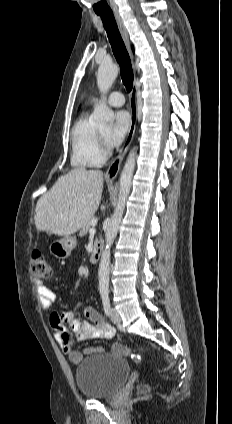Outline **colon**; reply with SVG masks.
<instances>
[{"mask_svg":"<svg viewBox=\"0 0 232 424\" xmlns=\"http://www.w3.org/2000/svg\"><path fill=\"white\" fill-rule=\"evenodd\" d=\"M31 271L36 278L42 280H49L53 276L52 266L41 250H34L31 254ZM119 345H122L125 355L130 356L135 362L140 361V357L130 350V346L127 343H123V340H118L116 346L118 347ZM149 391L150 387L148 385H140L137 388V393L140 395L147 394Z\"/></svg>","mask_w":232,"mask_h":424,"instance_id":"colon-1","label":"colon"}]
</instances>
